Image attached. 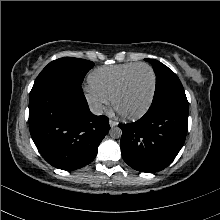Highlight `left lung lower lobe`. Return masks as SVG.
<instances>
[{"mask_svg": "<svg viewBox=\"0 0 220 220\" xmlns=\"http://www.w3.org/2000/svg\"><path fill=\"white\" fill-rule=\"evenodd\" d=\"M187 124L188 112L172 106L149 109L138 121L119 124L124 161L141 172L163 170L182 148Z\"/></svg>", "mask_w": 220, "mask_h": 220, "instance_id": "obj_1", "label": "left lung lower lobe"}]
</instances>
